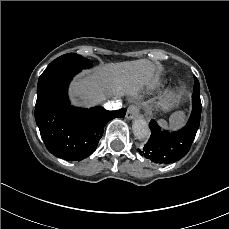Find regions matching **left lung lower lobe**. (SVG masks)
Instances as JSON below:
<instances>
[{
    "mask_svg": "<svg viewBox=\"0 0 229 229\" xmlns=\"http://www.w3.org/2000/svg\"><path fill=\"white\" fill-rule=\"evenodd\" d=\"M194 80L192 113L186 126L178 131L169 132L160 129L154 120H151L149 123L151 136L143 150L138 149V151L141 155L150 159L152 162L158 164H170L180 160L189 151L200 125L202 109L200 84L195 76Z\"/></svg>",
    "mask_w": 229,
    "mask_h": 229,
    "instance_id": "1",
    "label": "left lung lower lobe"
}]
</instances>
